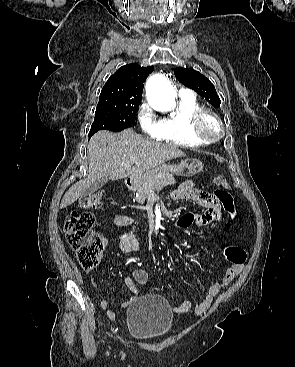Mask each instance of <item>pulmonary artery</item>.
Masks as SVG:
<instances>
[{"label":"pulmonary artery","mask_w":295,"mask_h":367,"mask_svg":"<svg viewBox=\"0 0 295 367\" xmlns=\"http://www.w3.org/2000/svg\"><path fill=\"white\" fill-rule=\"evenodd\" d=\"M179 93H180V96L184 97V98H193L194 97V93L189 89L182 88V89H180Z\"/></svg>","instance_id":"1"}]
</instances>
